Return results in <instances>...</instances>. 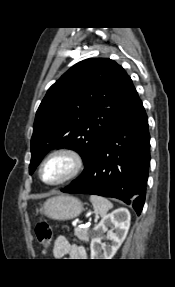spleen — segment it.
<instances>
[{
  "mask_svg": "<svg viewBox=\"0 0 175 287\" xmlns=\"http://www.w3.org/2000/svg\"><path fill=\"white\" fill-rule=\"evenodd\" d=\"M89 199L92 202L94 211L101 217H104L107 212L113 207L112 203L102 196L91 195Z\"/></svg>",
  "mask_w": 175,
  "mask_h": 287,
  "instance_id": "3e777b00",
  "label": "spleen"
}]
</instances>
